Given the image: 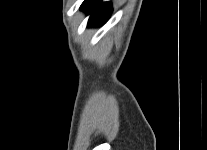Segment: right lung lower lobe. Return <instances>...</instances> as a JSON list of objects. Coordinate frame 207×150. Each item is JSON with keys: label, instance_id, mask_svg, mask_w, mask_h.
I'll return each mask as SVG.
<instances>
[{"label": "right lung lower lobe", "instance_id": "obj_1", "mask_svg": "<svg viewBox=\"0 0 207 150\" xmlns=\"http://www.w3.org/2000/svg\"><path fill=\"white\" fill-rule=\"evenodd\" d=\"M80 8L87 14H90L88 22L90 27L104 24L112 12L111 3H102L101 0H85Z\"/></svg>", "mask_w": 207, "mask_h": 150}]
</instances>
